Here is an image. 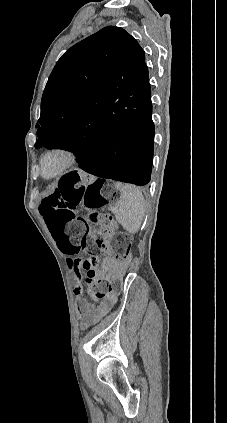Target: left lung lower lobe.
Returning <instances> with one entry per match:
<instances>
[{"label": "left lung lower lobe", "mask_w": 227, "mask_h": 423, "mask_svg": "<svg viewBox=\"0 0 227 423\" xmlns=\"http://www.w3.org/2000/svg\"><path fill=\"white\" fill-rule=\"evenodd\" d=\"M151 113V98L140 113L108 112L92 131L49 149L72 151L80 168L95 176L146 185L151 178L154 148Z\"/></svg>", "instance_id": "1"}]
</instances>
